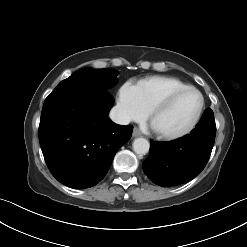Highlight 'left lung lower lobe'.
<instances>
[{
    "label": "left lung lower lobe",
    "instance_id": "left-lung-lower-lobe-1",
    "mask_svg": "<svg viewBox=\"0 0 247 247\" xmlns=\"http://www.w3.org/2000/svg\"><path fill=\"white\" fill-rule=\"evenodd\" d=\"M216 125L208 108L192 132L176 141H150L143 170L155 184L170 187L195 178L204 169L214 145Z\"/></svg>",
    "mask_w": 247,
    "mask_h": 247
}]
</instances>
